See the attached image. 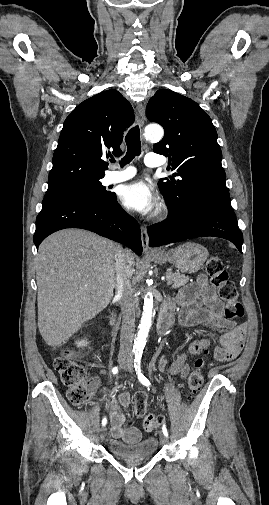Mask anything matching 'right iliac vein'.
<instances>
[{
  "mask_svg": "<svg viewBox=\"0 0 269 505\" xmlns=\"http://www.w3.org/2000/svg\"><path fill=\"white\" fill-rule=\"evenodd\" d=\"M126 361V358L125 357H120L119 358V363L121 365H124ZM106 432H107V428L105 426H103L101 429H100V439L101 440H104L105 439V436H106Z\"/></svg>",
  "mask_w": 269,
  "mask_h": 505,
  "instance_id": "obj_1",
  "label": "right iliac vein"
}]
</instances>
